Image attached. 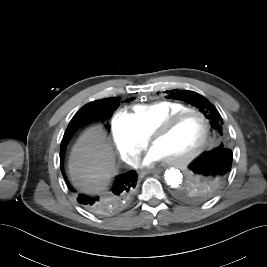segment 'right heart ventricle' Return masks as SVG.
<instances>
[{"instance_id":"1","label":"right heart ventricle","mask_w":267,"mask_h":267,"mask_svg":"<svg viewBox=\"0 0 267 267\" xmlns=\"http://www.w3.org/2000/svg\"><path fill=\"white\" fill-rule=\"evenodd\" d=\"M191 109L174 101H157L150 104L134 105L126 112L138 132L147 138L166 118L174 113Z\"/></svg>"}]
</instances>
